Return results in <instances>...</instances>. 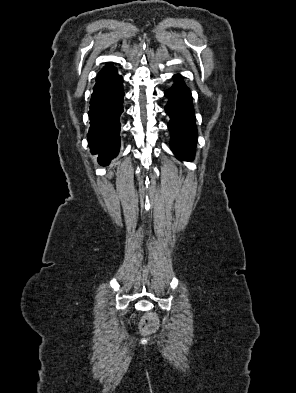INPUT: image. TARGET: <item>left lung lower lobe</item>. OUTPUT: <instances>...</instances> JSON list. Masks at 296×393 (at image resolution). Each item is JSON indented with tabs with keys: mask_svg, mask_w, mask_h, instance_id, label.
I'll list each match as a JSON object with an SVG mask.
<instances>
[{
	"mask_svg": "<svg viewBox=\"0 0 296 393\" xmlns=\"http://www.w3.org/2000/svg\"><path fill=\"white\" fill-rule=\"evenodd\" d=\"M179 78L175 75V84L165 92L169 99L165 111L170 116L171 149L179 159L189 161L194 158L197 128L191 92Z\"/></svg>",
	"mask_w": 296,
	"mask_h": 393,
	"instance_id": "obj_1",
	"label": "left lung lower lobe"
}]
</instances>
